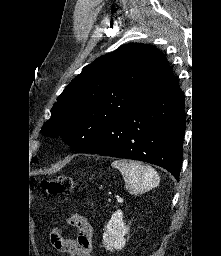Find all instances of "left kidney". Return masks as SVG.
Returning <instances> with one entry per match:
<instances>
[{"label":"left kidney","mask_w":221,"mask_h":256,"mask_svg":"<svg viewBox=\"0 0 221 256\" xmlns=\"http://www.w3.org/2000/svg\"><path fill=\"white\" fill-rule=\"evenodd\" d=\"M128 231L129 227L123 222V212L121 210L115 211L103 234V243L106 250H121L126 244L124 236Z\"/></svg>","instance_id":"obj_1"}]
</instances>
